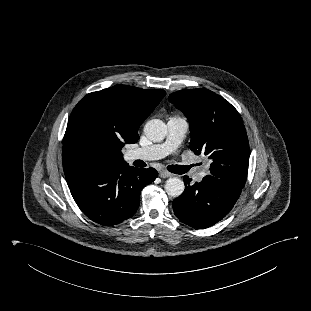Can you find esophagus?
I'll return each mask as SVG.
<instances>
[{"instance_id": "obj_1", "label": "esophagus", "mask_w": 311, "mask_h": 311, "mask_svg": "<svg viewBox=\"0 0 311 311\" xmlns=\"http://www.w3.org/2000/svg\"><path fill=\"white\" fill-rule=\"evenodd\" d=\"M159 176H160L161 178H168V177H171L172 174L169 173V172H167V171H165V170H160V171H159Z\"/></svg>"}]
</instances>
